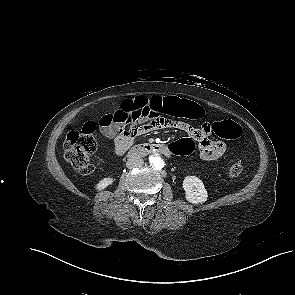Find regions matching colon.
Instances as JSON below:
<instances>
[{"label":"colon","mask_w":295,"mask_h":295,"mask_svg":"<svg viewBox=\"0 0 295 295\" xmlns=\"http://www.w3.org/2000/svg\"><path fill=\"white\" fill-rule=\"evenodd\" d=\"M159 107V100L152 99L148 101L143 97L125 101L121 106L122 109L130 112H136L139 109L154 110ZM166 107L170 115L180 118L198 120L205 115V111L200 105L186 99L172 97L170 98V103L167 104ZM112 113H104L101 119L107 118L108 115ZM95 128V122L88 121L80 131L69 132L64 142V155L66 160L77 172L84 175L91 174L94 171L91 155L95 152L97 147V143L93 137ZM211 128L216 135L225 139H237L242 134L241 126L232 120L216 122ZM166 148L167 151L172 154L188 155L193 152L194 143L190 139H183L178 142H169ZM242 170V164L236 162L230 166L228 174L231 178H236L241 174Z\"/></svg>","instance_id":"5ec220e1"}]
</instances>
